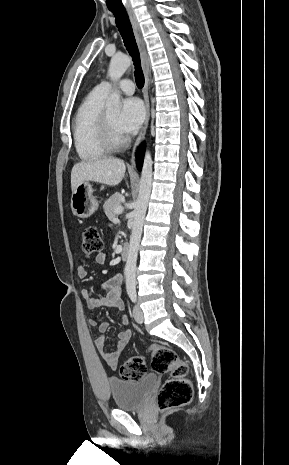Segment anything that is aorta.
<instances>
[{
  "label": "aorta",
  "instance_id": "obj_1",
  "mask_svg": "<svg viewBox=\"0 0 289 465\" xmlns=\"http://www.w3.org/2000/svg\"><path fill=\"white\" fill-rule=\"evenodd\" d=\"M132 60L126 55L112 57L108 69V75L113 81L122 77L125 71L130 67ZM106 107L112 110H120V94L117 90L113 91L106 100ZM152 157L150 151H146L143 161L139 195L133 212L134 225L130 236V244L127 262L125 266V279L127 291L136 290V261L141 240L143 223L147 211L148 201L152 185Z\"/></svg>",
  "mask_w": 289,
  "mask_h": 465
}]
</instances>
